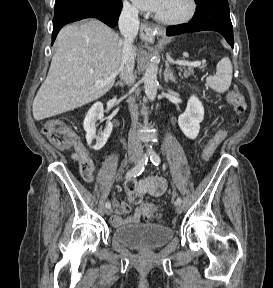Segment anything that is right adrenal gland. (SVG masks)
Listing matches in <instances>:
<instances>
[{
  "mask_svg": "<svg viewBox=\"0 0 273 288\" xmlns=\"http://www.w3.org/2000/svg\"><path fill=\"white\" fill-rule=\"evenodd\" d=\"M120 86V87H124L125 86V83H123L122 81H118L115 86Z\"/></svg>",
  "mask_w": 273,
  "mask_h": 288,
  "instance_id": "1",
  "label": "right adrenal gland"
}]
</instances>
